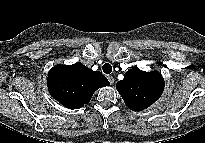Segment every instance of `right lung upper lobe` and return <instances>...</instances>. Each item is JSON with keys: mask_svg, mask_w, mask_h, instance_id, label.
I'll use <instances>...</instances> for the list:
<instances>
[{"mask_svg": "<svg viewBox=\"0 0 205 143\" xmlns=\"http://www.w3.org/2000/svg\"><path fill=\"white\" fill-rule=\"evenodd\" d=\"M109 84L101 72L92 71L80 62L54 66L47 78L51 96L69 109L87 104L98 88Z\"/></svg>", "mask_w": 205, "mask_h": 143, "instance_id": "obj_1", "label": "right lung upper lobe"}]
</instances>
